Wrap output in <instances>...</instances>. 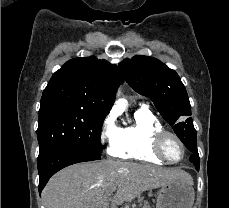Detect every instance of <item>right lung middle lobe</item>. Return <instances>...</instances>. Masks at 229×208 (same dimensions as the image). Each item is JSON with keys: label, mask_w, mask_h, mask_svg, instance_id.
Instances as JSON below:
<instances>
[{"label": "right lung middle lobe", "mask_w": 229, "mask_h": 208, "mask_svg": "<svg viewBox=\"0 0 229 208\" xmlns=\"http://www.w3.org/2000/svg\"><path fill=\"white\" fill-rule=\"evenodd\" d=\"M103 120L104 117L77 104L60 101L41 104L37 129L38 160L64 146H75L101 155Z\"/></svg>", "instance_id": "right-lung-middle-lobe-1"}]
</instances>
